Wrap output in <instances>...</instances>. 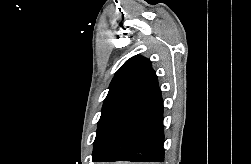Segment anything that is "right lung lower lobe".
Masks as SVG:
<instances>
[{"label":"right lung lower lobe","mask_w":251,"mask_h":164,"mask_svg":"<svg viewBox=\"0 0 251 164\" xmlns=\"http://www.w3.org/2000/svg\"><path fill=\"white\" fill-rule=\"evenodd\" d=\"M163 100L158 85L142 91L114 122L93 162H163Z\"/></svg>","instance_id":"98d812e1"}]
</instances>
